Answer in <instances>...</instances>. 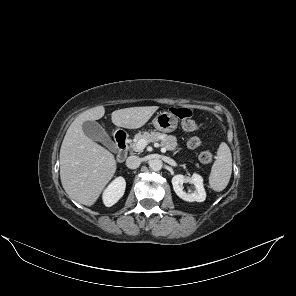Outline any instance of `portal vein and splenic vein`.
I'll use <instances>...</instances> for the list:
<instances>
[{
    "label": "portal vein and splenic vein",
    "instance_id": "1",
    "mask_svg": "<svg viewBox=\"0 0 296 296\" xmlns=\"http://www.w3.org/2000/svg\"><path fill=\"white\" fill-rule=\"evenodd\" d=\"M147 144H148V143H147L146 140L141 139L140 141H138V143H137V145H136V148H137L139 151H143V149L146 147ZM161 151H162L163 153H165V152H166V149H165V148H162Z\"/></svg>",
    "mask_w": 296,
    "mask_h": 296
}]
</instances>
